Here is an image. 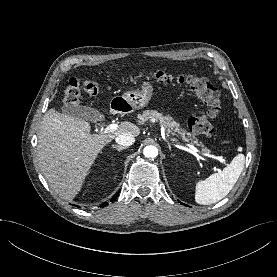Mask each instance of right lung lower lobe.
<instances>
[{"instance_id": "right-lung-lower-lobe-1", "label": "right lung lower lobe", "mask_w": 277, "mask_h": 277, "mask_svg": "<svg viewBox=\"0 0 277 277\" xmlns=\"http://www.w3.org/2000/svg\"><path fill=\"white\" fill-rule=\"evenodd\" d=\"M117 196H118V193L115 194V196L111 199V201L115 200ZM107 205H108L107 203H104V204H102V207H105Z\"/></svg>"}]
</instances>
